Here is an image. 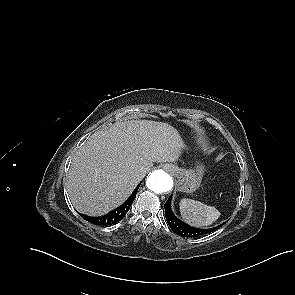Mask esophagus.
<instances>
[{
    "label": "esophagus",
    "instance_id": "obj_1",
    "mask_svg": "<svg viewBox=\"0 0 295 295\" xmlns=\"http://www.w3.org/2000/svg\"><path fill=\"white\" fill-rule=\"evenodd\" d=\"M166 169H168V171H174V167L172 166H166Z\"/></svg>",
    "mask_w": 295,
    "mask_h": 295
}]
</instances>
